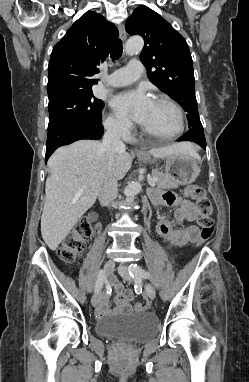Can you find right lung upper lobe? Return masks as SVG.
Segmentation results:
<instances>
[{"mask_svg":"<svg viewBox=\"0 0 249 382\" xmlns=\"http://www.w3.org/2000/svg\"><path fill=\"white\" fill-rule=\"evenodd\" d=\"M119 35L114 24L96 12L79 18L54 46L48 66L49 103L92 92V76L108 56L111 42Z\"/></svg>","mask_w":249,"mask_h":382,"instance_id":"cb5924a9","label":"right lung upper lobe"}]
</instances>
